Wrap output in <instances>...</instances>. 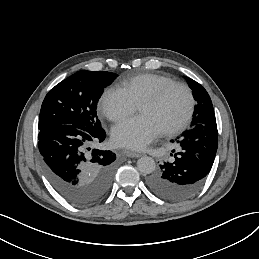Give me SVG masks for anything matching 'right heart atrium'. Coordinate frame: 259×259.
I'll list each match as a JSON object with an SVG mask.
<instances>
[{
	"label": "right heart atrium",
	"instance_id": "obj_1",
	"mask_svg": "<svg viewBox=\"0 0 259 259\" xmlns=\"http://www.w3.org/2000/svg\"><path fill=\"white\" fill-rule=\"evenodd\" d=\"M99 105L103 116L114 122L130 115L135 109V104L116 88H106L100 95Z\"/></svg>",
	"mask_w": 259,
	"mask_h": 259
}]
</instances>
